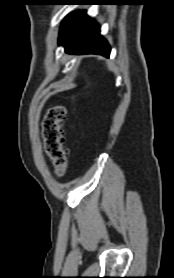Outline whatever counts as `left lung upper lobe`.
<instances>
[{"label":"left lung upper lobe","instance_id":"left-lung-upper-lobe-1","mask_svg":"<svg viewBox=\"0 0 174 278\" xmlns=\"http://www.w3.org/2000/svg\"><path fill=\"white\" fill-rule=\"evenodd\" d=\"M74 13L68 15L62 22L61 28H60V35H59V43L64 40V38L68 35L70 30V25L73 19Z\"/></svg>","mask_w":174,"mask_h":278}]
</instances>
